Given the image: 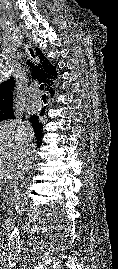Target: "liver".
Masks as SVG:
<instances>
[{
	"mask_svg": "<svg viewBox=\"0 0 118 269\" xmlns=\"http://www.w3.org/2000/svg\"><path fill=\"white\" fill-rule=\"evenodd\" d=\"M33 137V128L27 121L0 123V180L8 174H18L27 148L35 152V145L30 144Z\"/></svg>",
	"mask_w": 118,
	"mask_h": 269,
	"instance_id": "liver-1",
	"label": "liver"
}]
</instances>
